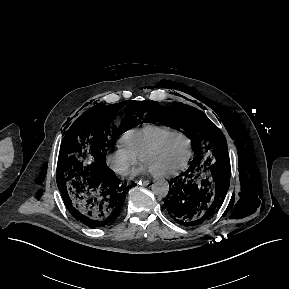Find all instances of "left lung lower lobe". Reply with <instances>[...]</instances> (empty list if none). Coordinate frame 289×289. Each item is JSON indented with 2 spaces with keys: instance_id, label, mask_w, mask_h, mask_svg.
Returning a JSON list of instances; mask_svg holds the SVG:
<instances>
[{
  "instance_id": "left-lung-lower-lobe-1",
  "label": "left lung lower lobe",
  "mask_w": 289,
  "mask_h": 289,
  "mask_svg": "<svg viewBox=\"0 0 289 289\" xmlns=\"http://www.w3.org/2000/svg\"><path fill=\"white\" fill-rule=\"evenodd\" d=\"M211 171V177L207 172ZM230 185V167L192 163L173 178L165 201L168 215L184 226L199 225L222 205Z\"/></svg>"
}]
</instances>
